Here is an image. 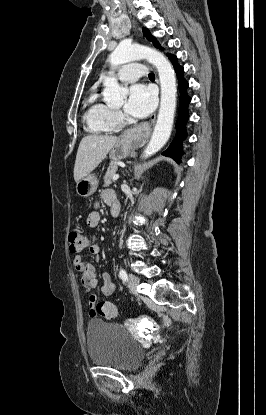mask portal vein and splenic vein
Returning a JSON list of instances; mask_svg holds the SVG:
<instances>
[{"label":"portal vein and splenic vein","mask_w":266,"mask_h":415,"mask_svg":"<svg viewBox=\"0 0 266 415\" xmlns=\"http://www.w3.org/2000/svg\"><path fill=\"white\" fill-rule=\"evenodd\" d=\"M118 178H119V175H118V174H115V175H113L112 180H113V181H115V180H117Z\"/></svg>","instance_id":"obj_1"}]
</instances>
